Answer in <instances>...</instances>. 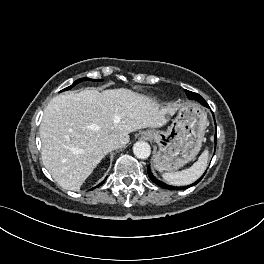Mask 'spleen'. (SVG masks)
Segmentation results:
<instances>
[{
    "instance_id": "3e777b00",
    "label": "spleen",
    "mask_w": 264,
    "mask_h": 264,
    "mask_svg": "<svg viewBox=\"0 0 264 264\" xmlns=\"http://www.w3.org/2000/svg\"><path fill=\"white\" fill-rule=\"evenodd\" d=\"M209 152L207 149L203 151L198 160L188 169L177 172L163 173V179L172 185H187L196 181L205 171L207 167Z\"/></svg>"
}]
</instances>
